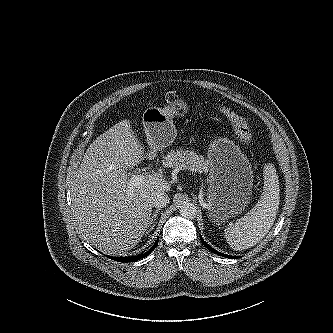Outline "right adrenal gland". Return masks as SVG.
I'll return each mask as SVG.
<instances>
[{"instance_id": "obj_1", "label": "right adrenal gland", "mask_w": 333, "mask_h": 333, "mask_svg": "<svg viewBox=\"0 0 333 333\" xmlns=\"http://www.w3.org/2000/svg\"><path fill=\"white\" fill-rule=\"evenodd\" d=\"M160 208L159 209H157V210H155L154 212H153V214L149 217V225H148V227H149V229H148V231L146 232L147 234L150 232V231H152L153 230V228L155 227V221H156V217H157V215H158V213L160 212Z\"/></svg>"}]
</instances>
